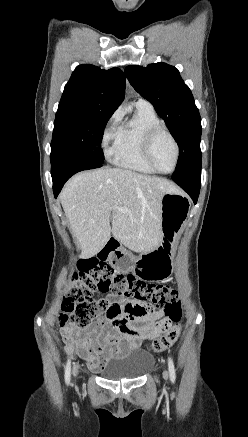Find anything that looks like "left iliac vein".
<instances>
[{"mask_svg":"<svg viewBox=\"0 0 248 437\" xmlns=\"http://www.w3.org/2000/svg\"><path fill=\"white\" fill-rule=\"evenodd\" d=\"M163 377H164L165 379L168 378V372H167V371H164V373H163Z\"/></svg>","mask_w":248,"mask_h":437,"instance_id":"left-iliac-vein-1","label":"left iliac vein"}]
</instances>
